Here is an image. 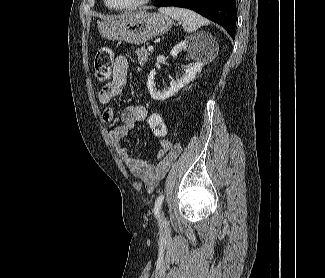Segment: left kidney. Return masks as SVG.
<instances>
[{"label": "left kidney", "mask_w": 325, "mask_h": 278, "mask_svg": "<svg viewBox=\"0 0 325 278\" xmlns=\"http://www.w3.org/2000/svg\"><path fill=\"white\" fill-rule=\"evenodd\" d=\"M204 47L203 38L200 35L188 37L177 44L171 50L170 54L173 57H177L179 52L187 51L191 54L195 63L184 69V73L181 79L171 81L170 87L162 91L156 89V84L154 82L156 72L155 70H152L147 81V88L151 97L154 100H166L169 97L175 95L185 85L190 83L206 63V53Z\"/></svg>", "instance_id": "5707ae66"}]
</instances>
